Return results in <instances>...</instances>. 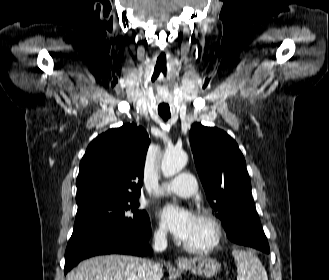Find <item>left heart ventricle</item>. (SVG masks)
Masks as SVG:
<instances>
[{"instance_id": "left-heart-ventricle-1", "label": "left heart ventricle", "mask_w": 329, "mask_h": 280, "mask_svg": "<svg viewBox=\"0 0 329 280\" xmlns=\"http://www.w3.org/2000/svg\"><path fill=\"white\" fill-rule=\"evenodd\" d=\"M210 239L211 231L209 227L199 217H197L194 229L186 243L200 246L209 242Z\"/></svg>"}]
</instances>
